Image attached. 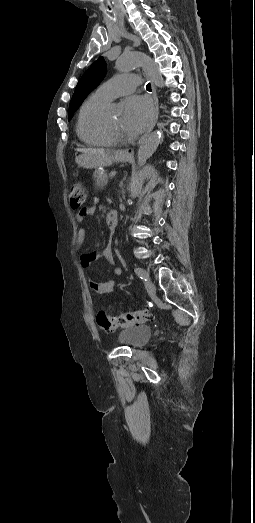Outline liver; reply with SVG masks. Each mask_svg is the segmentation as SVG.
<instances>
[{
	"instance_id": "liver-1",
	"label": "liver",
	"mask_w": 255,
	"mask_h": 523,
	"mask_svg": "<svg viewBox=\"0 0 255 523\" xmlns=\"http://www.w3.org/2000/svg\"><path fill=\"white\" fill-rule=\"evenodd\" d=\"M77 152H82V156L91 158L95 162H98L101 156H106L105 150H102V148H77Z\"/></svg>"
}]
</instances>
